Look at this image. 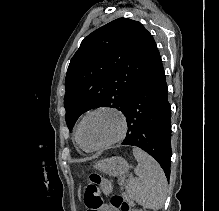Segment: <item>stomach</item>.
Masks as SVG:
<instances>
[{
  "mask_svg": "<svg viewBox=\"0 0 219 211\" xmlns=\"http://www.w3.org/2000/svg\"><path fill=\"white\" fill-rule=\"evenodd\" d=\"M94 167L110 176H124L129 169L127 161L122 157H111L100 160Z\"/></svg>",
  "mask_w": 219,
  "mask_h": 211,
  "instance_id": "stomach-1",
  "label": "stomach"
}]
</instances>
